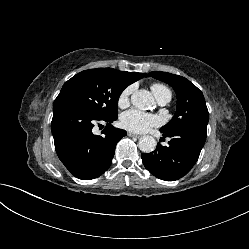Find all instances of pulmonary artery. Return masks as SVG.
I'll use <instances>...</instances> for the list:
<instances>
[{"label": "pulmonary artery", "mask_w": 249, "mask_h": 249, "mask_svg": "<svg viewBox=\"0 0 249 249\" xmlns=\"http://www.w3.org/2000/svg\"><path fill=\"white\" fill-rule=\"evenodd\" d=\"M156 99H157V102H158L159 105L164 106V105H166L167 103L170 102L171 95L168 94V93H164V94L156 97Z\"/></svg>", "instance_id": "obj_1"}]
</instances>
